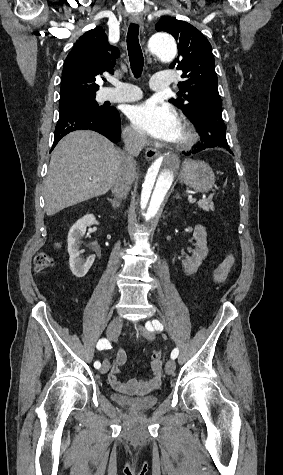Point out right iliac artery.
Here are the masks:
<instances>
[{"instance_id": "obj_1", "label": "right iliac artery", "mask_w": 283, "mask_h": 475, "mask_svg": "<svg viewBox=\"0 0 283 475\" xmlns=\"http://www.w3.org/2000/svg\"><path fill=\"white\" fill-rule=\"evenodd\" d=\"M108 346H109V342H108L107 339H100V340L98 341L96 347H97L98 350H103L104 348H108ZM94 367L97 368V369H99V368L101 367V363L98 362V361H96V362L94 363Z\"/></svg>"}]
</instances>
